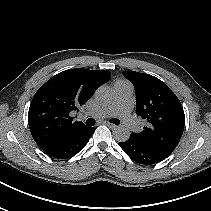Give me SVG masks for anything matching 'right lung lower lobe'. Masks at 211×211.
Listing matches in <instances>:
<instances>
[{
  "label": "right lung lower lobe",
  "mask_w": 211,
  "mask_h": 211,
  "mask_svg": "<svg viewBox=\"0 0 211 211\" xmlns=\"http://www.w3.org/2000/svg\"><path fill=\"white\" fill-rule=\"evenodd\" d=\"M94 131V127H87L80 132L68 136L55 147L45 152L50 157L56 159L71 158L84 148V146L88 143L89 138L93 135Z\"/></svg>",
  "instance_id": "98d812e1"
}]
</instances>
